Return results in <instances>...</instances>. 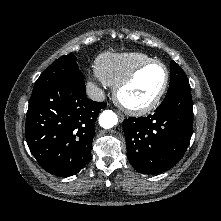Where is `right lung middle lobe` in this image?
I'll return each mask as SVG.
<instances>
[{
  "label": "right lung middle lobe",
  "mask_w": 221,
  "mask_h": 221,
  "mask_svg": "<svg viewBox=\"0 0 221 221\" xmlns=\"http://www.w3.org/2000/svg\"><path fill=\"white\" fill-rule=\"evenodd\" d=\"M76 60L74 55H66L54 61L35 82L31 98L63 81L84 86L83 74L79 71Z\"/></svg>",
  "instance_id": "obj_1"
}]
</instances>
